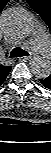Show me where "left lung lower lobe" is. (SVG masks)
<instances>
[{
	"label": "left lung lower lobe",
	"mask_w": 51,
	"mask_h": 153,
	"mask_svg": "<svg viewBox=\"0 0 51 153\" xmlns=\"http://www.w3.org/2000/svg\"><path fill=\"white\" fill-rule=\"evenodd\" d=\"M40 82L46 87L51 89V75L47 78L40 79Z\"/></svg>",
	"instance_id": "obj_1"
}]
</instances>
